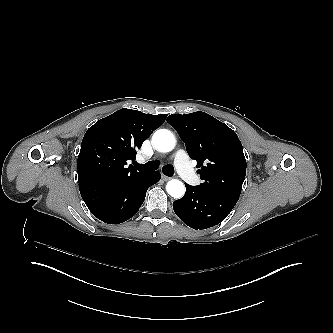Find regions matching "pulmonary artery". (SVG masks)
I'll return each instance as SVG.
<instances>
[{
  "mask_svg": "<svg viewBox=\"0 0 333 333\" xmlns=\"http://www.w3.org/2000/svg\"><path fill=\"white\" fill-rule=\"evenodd\" d=\"M187 150L186 149H179L178 153L175 157L176 166V173L180 174L183 177V180L186 182H195L196 184L199 182L196 179V175L193 173V168L187 162Z\"/></svg>",
  "mask_w": 333,
  "mask_h": 333,
  "instance_id": "e3ab8cb5",
  "label": "pulmonary artery"
}]
</instances>
